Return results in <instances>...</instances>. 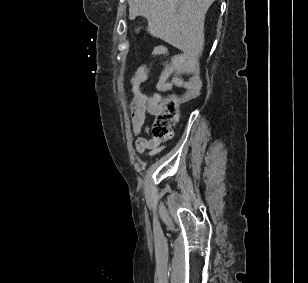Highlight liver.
I'll return each instance as SVG.
<instances>
[{
  "mask_svg": "<svg viewBox=\"0 0 308 283\" xmlns=\"http://www.w3.org/2000/svg\"><path fill=\"white\" fill-rule=\"evenodd\" d=\"M215 0H128L129 19L143 16L148 32L190 56L204 44L205 15Z\"/></svg>",
  "mask_w": 308,
  "mask_h": 283,
  "instance_id": "obj_1",
  "label": "liver"
}]
</instances>
